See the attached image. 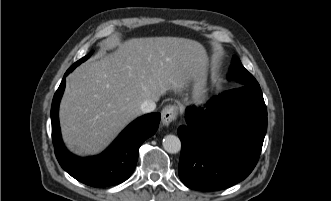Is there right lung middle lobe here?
<instances>
[{"label":"right lung middle lobe","mask_w":331,"mask_h":201,"mask_svg":"<svg viewBox=\"0 0 331 201\" xmlns=\"http://www.w3.org/2000/svg\"><path fill=\"white\" fill-rule=\"evenodd\" d=\"M92 55V52L89 53L87 56L81 58L79 61H77L76 63H74L69 69L72 71L75 67H77L79 64H81L82 62H84L85 60H87L90 56Z\"/></svg>","instance_id":"1"}]
</instances>
